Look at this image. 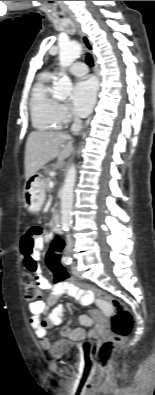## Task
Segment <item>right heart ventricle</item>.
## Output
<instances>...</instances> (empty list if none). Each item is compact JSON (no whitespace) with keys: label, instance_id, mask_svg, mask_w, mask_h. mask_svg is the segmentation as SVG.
<instances>
[{"label":"right heart ventricle","instance_id":"1","mask_svg":"<svg viewBox=\"0 0 155 395\" xmlns=\"http://www.w3.org/2000/svg\"><path fill=\"white\" fill-rule=\"evenodd\" d=\"M54 79L51 73L41 74L31 92V121L38 130H55L62 126L58 116L59 103L51 92Z\"/></svg>","mask_w":155,"mask_h":395}]
</instances>
